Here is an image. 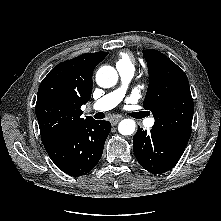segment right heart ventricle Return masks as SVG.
I'll return each instance as SVG.
<instances>
[{
    "instance_id": "right-heart-ventricle-1",
    "label": "right heart ventricle",
    "mask_w": 221,
    "mask_h": 221,
    "mask_svg": "<svg viewBox=\"0 0 221 221\" xmlns=\"http://www.w3.org/2000/svg\"><path fill=\"white\" fill-rule=\"evenodd\" d=\"M116 67L117 69H134L135 63L132 55L128 52H121L116 61Z\"/></svg>"
}]
</instances>
